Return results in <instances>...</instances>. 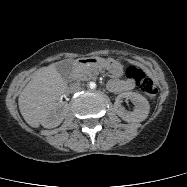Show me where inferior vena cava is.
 <instances>
[{
    "label": "inferior vena cava",
    "instance_id": "obj_1",
    "mask_svg": "<svg viewBox=\"0 0 187 187\" xmlns=\"http://www.w3.org/2000/svg\"><path fill=\"white\" fill-rule=\"evenodd\" d=\"M81 90V85L79 82L71 83L69 86V91L75 93Z\"/></svg>",
    "mask_w": 187,
    "mask_h": 187
}]
</instances>
